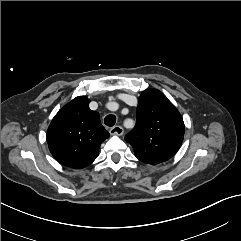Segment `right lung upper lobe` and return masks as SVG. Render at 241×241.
<instances>
[{"label": "right lung upper lobe", "instance_id": "1", "mask_svg": "<svg viewBox=\"0 0 241 241\" xmlns=\"http://www.w3.org/2000/svg\"><path fill=\"white\" fill-rule=\"evenodd\" d=\"M89 99L74 98L55 115L47 130L52 155L63 165L81 169L98 156L101 143L110 135L100 123L98 112L89 108Z\"/></svg>", "mask_w": 241, "mask_h": 241}]
</instances>
